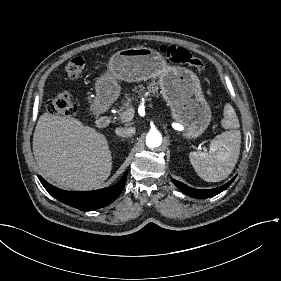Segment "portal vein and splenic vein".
<instances>
[{
  "label": "portal vein and splenic vein",
  "instance_id": "obj_1",
  "mask_svg": "<svg viewBox=\"0 0 281 281\" xmlns=\"http://www.w3.org/2000/svg\"><path fill=\"white\" fill-rule=\"evenodd\" d=\"M135 113H136V108L135 107H130L128 109V111L126 112L125 117L123 118V123L124 124H129L130 120L135 115ZM204 145L211 146L212 145V138L208 137L206 140H201L199 142V146L200 147H203Z\"/></svg>",
  "mask_w": 281,
  "mask_h": 281
}]
</instances>
